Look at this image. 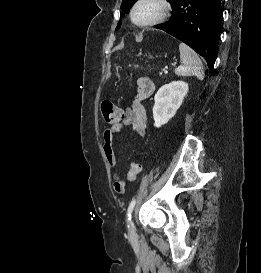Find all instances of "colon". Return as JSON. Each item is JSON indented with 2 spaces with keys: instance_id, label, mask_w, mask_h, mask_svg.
<instances>
[{
  "instance_id": "5ec220e1",
  "label": "colon",
  "mask_w": 261,
  "mask_h": 273,
  "mask_svg": "<svg viewBox=\"0 0 261 273\" xmlns=\"http://www.w3.org/2000/svg\"><path fill=\"white\" fill-rule=\"evenodd\" d=\"M101 111L104 117V120L108 124H115L121 118V110L111 101H103L101 104ZM141 171V166L137 162L130 163L126 174L125 180L126 181H134ZM116 188L120 192L124 191L125 189V181L120 179L116 182Z\"/></svg>"
}]
</instances>
